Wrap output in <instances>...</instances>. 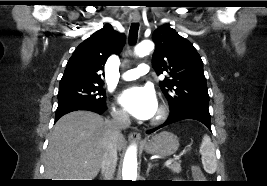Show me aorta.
Listing matches in <instances>:
<instances>
[{"label":"aorta","instance_id":"1","mask_svg":"<svg viewBox=\"0 0 267 186\" xmlns=\"http://www.w3.org/2000/svg\"><path fill=\"white\" fill-rule=\"evenodd\" d=\"M154 49V44L150 40H144L140 42L136 48V55L143 57L148 55ZM122 180L137 179V148L135 145H131L125 154L122 168Z\"/></svg>","mask_w":267,"mask_h":186}]
</instances>
